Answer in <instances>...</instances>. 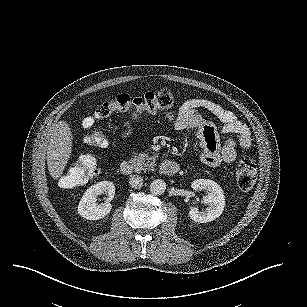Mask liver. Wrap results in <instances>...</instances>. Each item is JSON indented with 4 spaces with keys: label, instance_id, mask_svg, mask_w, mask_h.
Masks as SVG:
<instances>
[{
    "label": "liver",
    "instance_id": "6515ba94",
    "mask_svg": "<svg viewBox=\"0 0 307 307\" xmlns=\"http://www.w3.org/2000/svg\"><path fill=\"white\" fill-rule=\"evenodd\" d=\"M71 151L70 128L65 122H58L51 133L47 146V167L53 178L61 175Z\"/></svg>",
    "mask_w": 307,
    "mask_h": 307
}]
</instances>
